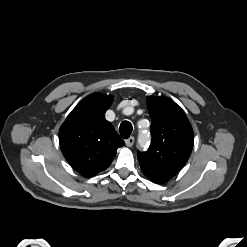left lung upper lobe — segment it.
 Segmentation results:
<instances>
[{"label": "left lung upper lobe", "mask_w": 247, "mask_h": 247, "mask_svg": "<svg viewBox=\"0 0 247 247\" xmlns=\"http://www.w3.org/2000/svg\"><path fill=\"white\" fill-rule=\"evenodd\" d=\"M152 142L148 151L138 152L143 173L163 184L187 162L193 148V130L183 110L166 97L148 96Z\"/></svg>", "instance_id": "1"}]
</instances>
